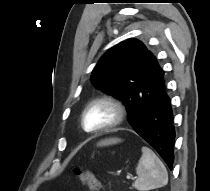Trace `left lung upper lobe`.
<instances>
[{
	"mask_svg": "<svg viewBox=\"0 0 210 191\" xmlns=\"http://www.w3.org/2000/svg\"><path fill=\"white\" fill-rule=\"evenodd\" d=\"M161 67L154 54L139 40L128 39L109 49L91 75L92 83L122 100L129 122H134L138 106L149 94Z\"/></svg>",
	"mask_w": 210,
	"mask_h": 191,
	"instance_id": "5c2ea615",
	"label": "left lung upper lobe"
}]
</instances>
